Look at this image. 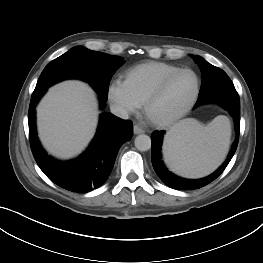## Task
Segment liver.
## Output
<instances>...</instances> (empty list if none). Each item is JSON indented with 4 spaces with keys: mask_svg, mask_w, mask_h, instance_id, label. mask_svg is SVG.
I'll return each mask as SVG.
<instances>
[{
    "mask_svg": "<svg viewBox=\"0 0 263 263\" xmlns=\"http://www.w3.org/2000/svg\"><path fill=\"white\" fill-rule=\"evenodd\" d=\"M98 119V103L92 88L68 80L49 89L37 107L42 144L52 155L68 159L80 153L92 139Z\"/></svg>",
    "mask_w": 263,
    "mask_h": 263,
    "instance_id": "obj_1",
    "label": "liver"
}]
</instances>
